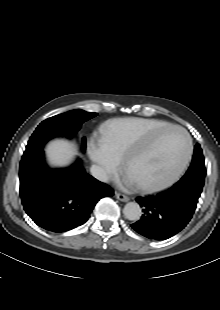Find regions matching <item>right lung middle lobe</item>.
<instances>
[{
    "instance_id": "1",
    "label": "right lung middle lobe",
    "mask_w": 220,
    "mask_h": 310,
    "mask_svg": "<svg viewBox=\"0 0 220 310\" xmlns=\"http://www.w3.org/2000/svg\"><path fill=\"white\" fill-rule=\"evenodd\" d=\"M96 115L97 113L78 109L44 120L30 137L25 151L32 152L42 149L45 143L54 136L72 137L80 129L83 122ZM82 143L83 149H85V138L82 139Z\"/></svg>"
}]
</instances>
